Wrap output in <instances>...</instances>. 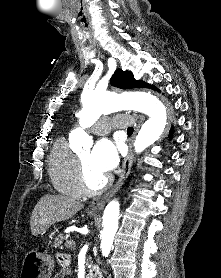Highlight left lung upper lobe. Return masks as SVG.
I'll use <instances>...</instances> for the list:
<instances>
[{"label":"left lung upper lobe","instance_id":"obj_1","mask_svg":"<svg viewBox=\"0 0 221 278\" xmlns=\"http://www.w3.org/2000/svg\"><path fill=\"white\" fill-rule=\"evenodd\" d=\"M111 85L121 88H151L157 90L153 85L147 84L144 81L135 80L133 74L130 71H122L118 69L115 71L110 79Z\"/></svg>","mask_w":221,"mask_h":278}]
</instances>
